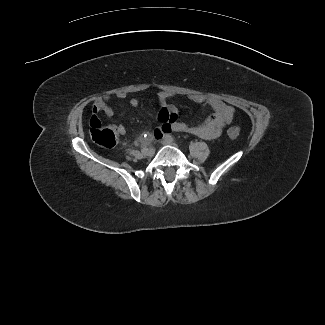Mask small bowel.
Segmentation results:
<instances>
[{"label":"small bowel","mask_w":325,"mask_h":325,"mask_svg":"<svg viewBox=\"0 0 325 325\" xmlns=\"http://www.w3.org/2000/svg\"><path fill=\"white\" fill-rule=\"evenodd\" d=\"M173 95V93L168 91H160L157 94L160 104L158 118L162 122V125L154 132L157 136H162L169 131H175L194 134L208 140L215 139L233 119L234 108L220 99L200 94H187L186 97L190 101L200 106H209L213 110L212 116L207 118L202 124L188 125L178 120L177 107L168 103V99ZM114 98L126 99L127 95L124 92H118L98 97L93 104V113L102 112L107 117H112L113 110L108 102ZM128 104L132 107H137L139 100L137 98H130L128 99ZM117 129L121 135L126 133L123 126H119Z\"/></svg>","instance_id":"c3829d8e"}]
</instances>
